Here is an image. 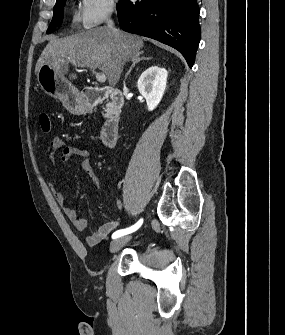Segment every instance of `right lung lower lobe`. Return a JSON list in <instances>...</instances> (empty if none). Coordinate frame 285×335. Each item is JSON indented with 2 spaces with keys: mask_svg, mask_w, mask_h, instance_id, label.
I'll use <instances>...</instances> for the list:
<instances>
[{
  "mask_svg": "<svg viewBox=\"0 0 285 335\" xmlns=\"http://www.w3.org/2000/svg\"><path fill=\"white\" fill-rule=\"evenodd\" d=\"M117 12L123 30L174 47L193 66L201 35L197 0H119Z\"/></svg>",
  "mask_w": 285,
  "mask_h": 335,
  "instance_id": "1",
  "label": "right lung lower lobe"
}]
</instances>
